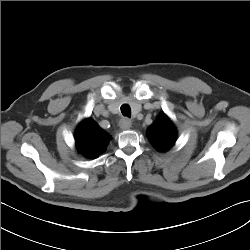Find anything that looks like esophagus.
I'll use <instances>...</instances> for the list:
<instances>
[{
	"mask_svg": "<svg viewBox=\"0 0 250 250\" xmlns=\"http://www.w3.org/2000/svg\"><path fill=\"white\" fill-rule=\"evenodd\" d=\"M131 125H132V121L127 117L122 118L119 123V126L122 130L130 129Z\"/></svg>",
	"mask_w": 250,
	"mask_h": 250,
	"instance_id": "1",
	"label": "esophagus"
}]
</instances>
